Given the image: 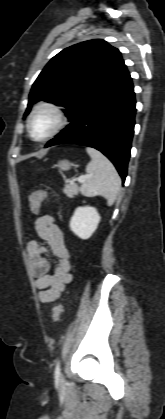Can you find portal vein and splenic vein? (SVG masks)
Listing matches in <instances>:
<instances>
[{
    "label": "portal vein and splenic vein",
    "mask_w": 165,
    "mask_h": 419,
    "mask_svg": "<svg viewBox=\"0 0 165 419\" xmlns=\"http://www.w3.org/2000/svg\"><path fill=\"white\" fill-rule=\"evenodd\" d=\"M88 177V175H82V176H79L78 178H77V181L78 182H83V181H85V179ZM71 184H72V182H71Z\"/></svg>",
    "instance_id": "obj_1"
}]
</instances>
